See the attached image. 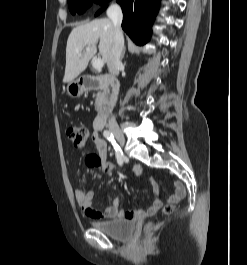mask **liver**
<instances>
[{"instance_id": "6515ba94", "label": "liver", "mask_w": 247, "mask_h": 265, "mask_svg": "<svg viewBox=\"0 0 247 265\" xmlns=\"http://www.w3.org/2000/svg\"><path fill=\"white\" fill-rule=\"evenodd\" d=\"M113 35L114 27L109 19H96L90 23L75 27L67 40L63 82L69 83L73 81L86 69L90 59L97 52L98 41L99 53L103 62H107L113 43ZM85 47H90V50L81 53ZM79 52L81 55H78Z\"/></svg>"}]
</instances>
